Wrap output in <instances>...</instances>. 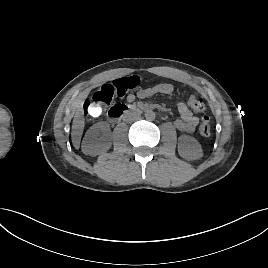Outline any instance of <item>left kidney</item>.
I'll list each match as a JSON object with an SVG mask.
<instances>
[{
    "label": "left kidney",
    "mask_w": 268,
    "mask_h": 268,
    "mask_svg": "<svg viewBox=\"0 0 268 268\" xmlns=\"http://www.w3.org/2000/svg\"><path fill=\"white\" fill-rule=\"evenodd\" d=\"M178 153L186 160H197L203 156L200 143L192 136L181 135L178 139Z\"/></svg>",
    "instance_id": "obj_1"
}]
</instances>
